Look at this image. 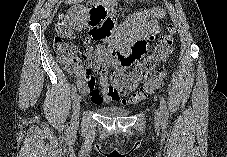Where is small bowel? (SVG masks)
<instances>
[{"instance_id": "1", "label": "small bowel", "mask_w": 227, "mask_h": 157, "mask_svg": "<svg viewBox=\"0 0 227 157\" xmlns=\"http://www.w3.org/2000/svg\"><path fill=\"white\" fill-rule=\"evenodd\" d=\"M166 12L162 6H154L132 14L113 35L98 39L103 40L93 52V62L104 69H112L115 73L123 74L131 65L124 62H140L143 54H148V42L160 31V20ZM95 32H92L94 34ZM77 85L81 94L89 96L94 104L119 101L122 94L110 84L107 74L99 78L100 89L95 81L87 78V69L80 61L73 68ZM132 79L131 89H134L143 77L133 72L128 73Z\"/></svg>"}]
</instances>
